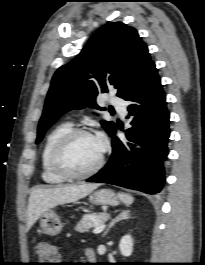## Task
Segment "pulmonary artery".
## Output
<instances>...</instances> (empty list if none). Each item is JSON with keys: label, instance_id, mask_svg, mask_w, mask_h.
I'll use <instances>...</instances> for the list:
<instances>
[{"label": "pulmonary artery", "instance_id": "pulmonary-artery-1", "mask_svg": "<svg viewBox=\"0 0 205 265\" xmlns=\"http://www.w3.org/2000/svg\"><path fill=\"white\" fill-rule=\"evenodd\" d=\"M111 104L122 114L125 115L126 113V105L125 102L118 98V97H112L111 98Z\"/></svg>", "mask_w": 205, "mask_h": 265}]
</instances>
